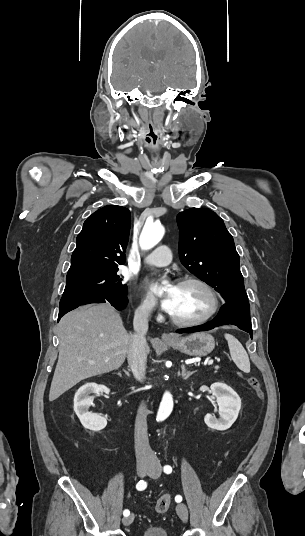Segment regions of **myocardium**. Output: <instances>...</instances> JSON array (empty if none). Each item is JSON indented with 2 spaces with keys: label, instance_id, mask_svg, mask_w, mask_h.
<instances>
[{
  "label": "myocardium",
  "instance_id": "myocardium-1",
  "mask_svg": "<svg viewBox=\"0 0 305 536\" xmlns=\"http://www.w3.org/2000/svg\"><path fill=\"white\" fill-rule=\"evenodd\" d=\"M185 284H197L205 288L213 298V308L206 316L196 319L180 317L170 311L169 316L171 320L176 324L190 327L204 325L213 320L219 314L222 308V298L219 291L205 279L196 276L183 277L178 283V285Z\"/></svg>",
  "mask_w": 305,
  "mask_h": 536
}]
</instances>
